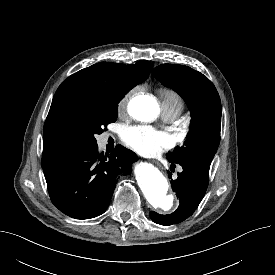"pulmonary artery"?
Instances as JSON below:
<instances>
[{
	"label": "pulmonary artery",
	"instance_id": "obj_1",
	"mask_svg": "<svg viewBox=\"0 0 275 275\" xmlns=\"http://www.w3.org/2000/svg\"><path fill=\"white\" fill-rule=\"evenodd\" d=\"M181 111L177 108L172 107H162V116L163 119L167 122L174 121L179 115Z\"/></svg>",
	"mask_w": 275,
	"mask_h": 275
}]
</instances>
